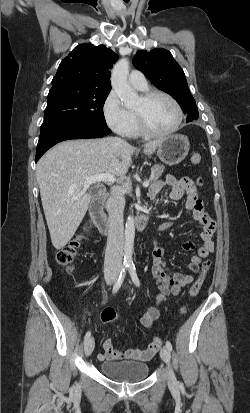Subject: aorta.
Listing matches in <instances>:
<instances>
[{
	"label": "aorta",
	"instance_id": "1",
	"mask_svg": "<svg viewBox=\"0 0 250 413\" xmlns=\"http://www.w3.org/2000/svg\"><path fill=\"white\" fill-rule=\"evenodd\" d=\"M129 74V61L120 59L113 67L111 74V85L117 96L127 108H132L138 103V95L133 91L127 82ZM135 237V225L133 216L129 215L125 226L124 241V262L128 265L132 263V253Z\"/></svg>",
	"mask_w": 250,
	"mask_h": 413
}]
</instances>
